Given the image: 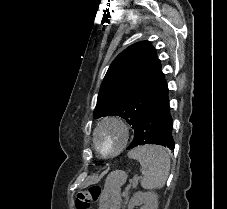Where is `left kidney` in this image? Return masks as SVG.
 Segmentation results:
<instances>
[{"label":"left kidney","instance_id":"obj_1","mask_svg":"<svg viewBox=\"0 0 227 209\" xmlns=\"http://www.w3.org/2000/svg\"><path fill=\"white\" fill-rule=\"evenodd\" d=\"M136 205H143L142 209H158V195L139 191L130 199L128 209H135Z\"/></svg>","mask_w":227,"mask_h":209}]
</instances>
